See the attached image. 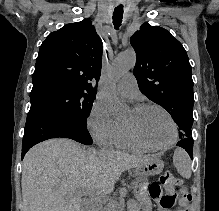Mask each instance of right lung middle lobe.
<instances>
[{"mask_svg":"<svg viewBox=\"0 0 219 211\" xmlns=\"http://www.w3.org/2000/svg\"><path fill=\"white\" fill-rule=\"evenodd\" d=\"M94 99V94L60 84L47 85L30 93L31 106L53 107L82 124H87Z\"/></svg>","mask_w":219,"mask_h":211,"instance_id":"obj_1","label":"right lung middle lobe"}]
</instances>
